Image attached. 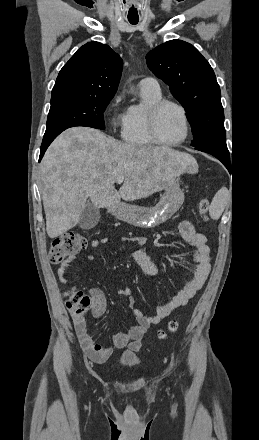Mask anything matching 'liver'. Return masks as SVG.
Returning <instances> with one entry per match:
<instances>
[{
    "label": "liver",
    "mask_w": 259,
    "mask_h": 440,
    "mask_svg": "<svg viewBox=\"0 0 259 440\" xmlns=\"http://www.w3.org/2000/svg\"><path fill=\"white\" fill-rule=\"evenodd\" d=\"M198 171L196 160L169 147L123 143L89 127L62 132L41 162L46 231L56 238L75 227L87 199L97 208L135 201L173 185L184 172ZM119 175L124 182L117 191Z\"/></svg>",
    "instance_id": "liver-1"
}]
</instances>
